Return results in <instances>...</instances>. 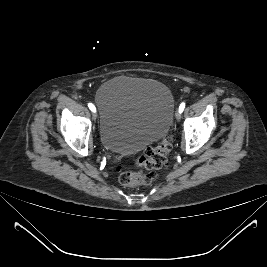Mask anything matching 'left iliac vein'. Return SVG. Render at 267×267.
I'll list each match as a JSON object with an SVG mask.
<instances>
[{
	"label": "left iliac vein",
	"mask_w": 267,
	"mask_h": 267,
	"mask_svg": "<svg viewBox=\"0 0 267 267\" xmlns=\"http://www.w3.org/2000/svg\"><path fill=\"white\" fill-rule=\"evenodd\" d=\"M176 119L179 121L181 119V113L179 111L175 114Z\"/></svg>",
	"instance_id": "left-iliac-vein-1"
}]
</instances>
